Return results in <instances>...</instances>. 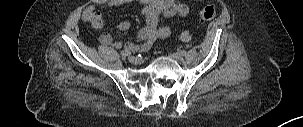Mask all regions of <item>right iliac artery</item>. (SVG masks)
Segmentation results:
<instances>
[{"label":"right iliac artery","instance_id":"obj_1","mask_svg":"<svg viewBox=\"0 0 303 127\" xmlns=\"http://www.w3.org/2000/svg\"><path fill=\"white\" fill-rule=\"evenodd\" d=\"M122 56L126 57V56H129L131 54L130 51H127V50H122L121 53H120Z\"/></svg>","mask_w":303,"mask_h":127}]
</instances>
